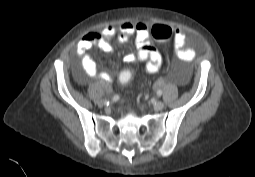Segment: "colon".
Returning a JSON list of instances; mask_svg holds the SVG:
<instances>
[{
    "mask_svg": "<svg viewBox=\"0 0 255 177\" xmlns=\"http://www.w3.org/2000/svg\"><path fill=\"white\" fill-rule=\"evenodd\" d=\"M151 33L154 39L161 42L168 41L173 36V30L169 26L160 24L154 25ZM133 75L134 71L132 69H125L121 71L119 80L121 83H128L132 79Z\"/></svg>",
    "mask_w": 255,
    "mask_h": 177,
    "instance_id": "1",
    "label": "colon"
}]
</instances>
